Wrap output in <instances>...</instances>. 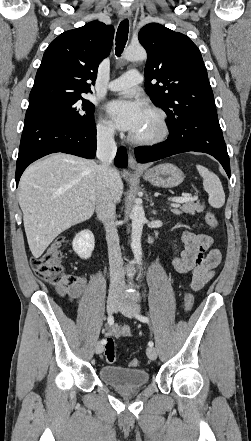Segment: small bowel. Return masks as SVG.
Instances as JSON below:
<instances>
[{
	"mask_svg": "<svg viewBox=\"0 0 251 441\" xmlns=\"http://www.w3.org/2000/svg\"><path fill=\"white\" fill-rule=\"evenodd\" d=\"M183 249L178 252L173 248L172 267L177 274H192L190 288L194 291L201 289L208 283L221 264V252L213 248V238L204 233L184 231L182 234ZM86 281L80 279L78 284L68 291H60L69 300H77L84 292ZM131 328L128 325H114L108 331L109 337H127L131 335Z\"/></svg>",
	"mask_w": 251,
	"mask_h": 441,
	"instance_id": "1",
	"label": "small bowel"
}]
</instances>
